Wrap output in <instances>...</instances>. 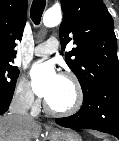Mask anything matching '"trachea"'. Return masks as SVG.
<instances>
[{
	"label": "trachea",
	"mask_w": 119,
	"mask_h": 141,
	"mask_svg": "<svg viewBox=\"0 0 119 141\" xmlns=\"http://www.w3.org/2000/svg\"><path fill=\"white\" fill-rule=\"evenodd\" d=\"M45 5H46V0H33L30 16L32 21L36 25H38L41 21V16L43 14Z\"/></svg>",
	"instance_id": "3493384b"
}]
</instances>
